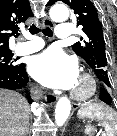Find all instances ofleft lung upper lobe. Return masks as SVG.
Returning <instances> with one entry per match:
<instances>
[{"label": "left lung upper lobe", "mask_w": 117, "mask_h": 136, "mask_svg": "<svg viewBox=\"0 0 117 136\" xmlns=\"http://www.w3.org/2000/svg\"><path fill=\"white\" fill-rule=\"evenodd\" d=\"M68 4L76 14L77 26L81 25L84 38L83 43L77 42L72 46L73 51L82 57L94 70L96 76L105 88H111L105 53V41L102 24L98 19L95 6L90 0H62ZM56 0H50L47 5H53Z\"/></svg>", "instance_id": "left-lung-upper-lobe-1"}]
</instances>
